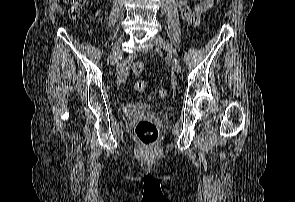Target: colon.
I'll return each mask as SVG.
<instances>
[{
    "label": "colon",
    "mask_w": 295,
    "mask_h": 202,
    "mask_svg": "<svg viewBox=\"0 0 295 202\" xmlns=\"http://www.w3.org/2000/svg\"><path fill=\"white\" fill-rule=\"evenodd\" d=\"M69 3V15L76 19L79 17L81 8L85 5L86 0H66ZM223 0H218L222 2ZM145 69L143 62L136 61L131 64V70L134 74H141ZM147 88V82L139 80L135 84V89L139 92ZM158 95L166 97L168 90L166 88H159ZM135 135L137 139L144 145L154 144L159 137V129L155 122L151 120H140L135 126Z\"/></svg>",
    "instance_id": "obj_1"
}]
</instances>
